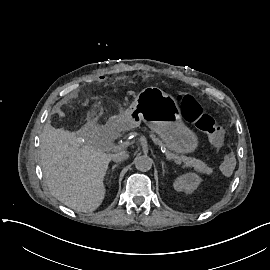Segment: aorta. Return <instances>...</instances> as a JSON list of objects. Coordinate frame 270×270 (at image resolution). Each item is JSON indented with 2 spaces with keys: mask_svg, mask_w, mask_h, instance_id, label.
<instances>
[{
  "mask_svg": "<svg viewBox=\"0 0 270 270\" xmlns=\"http://www.w3.org/2000/svg\"><path fill=\"white\" fill-rule=\"evenodd\" d=\"M136 169L146 172L151 169L153 160L147 155H138L135 160Z\"/></svg>",
  "mask_w": 270,
  "mask_h": 270,
  "instance_id": "aorta-1",
  "label": "aorta"
}]
</instances>
